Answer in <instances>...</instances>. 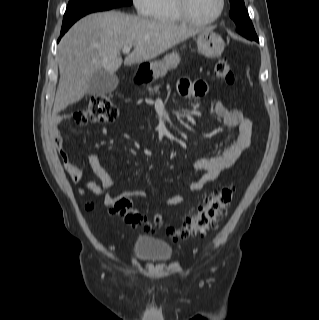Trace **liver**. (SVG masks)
Wrapping results in <instances>:
<instances>
[{
    "instance_id": "liver-1",
    "label": "liver",
    "mask_w": 319,
    "mask_h": 320,
    "mask_svg": "<svg viewBox=\"0 0 319 320\" xmlns=\"http://www.w3.org/2000/svg\"><path fill=\"white\" fill-rule=\"evenodd\" d=\"M204 30L116 11L87 15L69 29L58 45L60 80L53 114L80 101L87 92L89 78L97 71L116 72L123 63V47L133 46L124 65H134L150 61Z\"/></svg>"
}]
</instances>
